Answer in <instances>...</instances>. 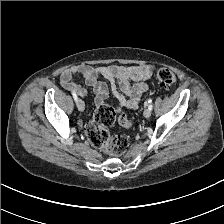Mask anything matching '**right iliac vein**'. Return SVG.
I'll use <instances>...</instances> for the list:
<instances>
[{
	"label": "right iliac vein",
	"instance_id": "63e3f726",
	"mask_svg": "<svg viewBox=\"0 0 224 224\" xmlns=\"http://www.w3.org/2000/svg\"><path fill=\"white\" fill-rule=\"evenodd\" d=\"M84 102L81 100V99H78L77 101V107L80 111H83L84 110Z\"/></svg>",
	"mask_w": 224,
	"mask_h": 224
}]
</instances>
